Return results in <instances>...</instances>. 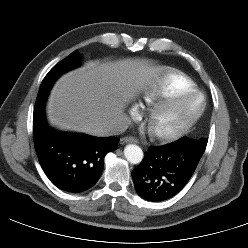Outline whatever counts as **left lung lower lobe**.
<instances>
[{
    "instance_id": "0a47b994",
    "label": "left lung lower lobe",
    "mask_w": 248,
    "mask_h": 248,
    "mask_svg": "<svg viewBox=\"0 0 248 248\" xmlns=\"http://www.w3.org/2000/svg\"><path fill=\"white\" fill-rule=\"evenodd\" d=\"M204 151L179 140L151 147L132 172L137 193L152 202L174 197L192 177Z\"/></svg>"
}]
</instances>
